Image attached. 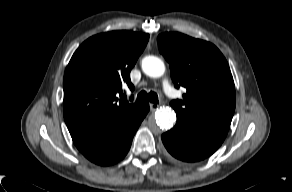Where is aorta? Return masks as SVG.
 Here are the masks:
<instances>
[{
  "instance_id": "1",
  "label": "aorta",
  "mask_w": 292,
  "mask_h": 192,
  "mask_svg": "<svg viewBox=\"0 0 292 192\" xmlns=\"http://www.w3.org/2000/svg\"><path fill=\"white\" fill-rule=\"evenodd\" d=\"M143 72L152 78L161 77L165 72L164 62L156 56H146L142 60ZM176 122V114L170 108H161L155 113V120L149 122V127L152 130L156 129V125L160 129H170Z\"/></svg>"
}]
</instances>
